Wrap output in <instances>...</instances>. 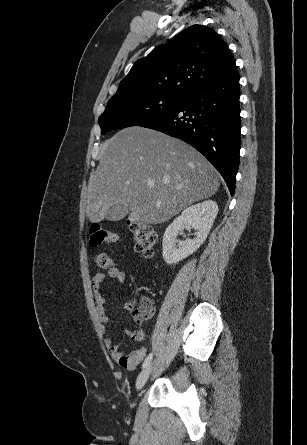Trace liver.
<instances>
[{
	"label": "liver",
	"instance_id": "liver-1",
	"mask_svg": "<svg viewBox=\"0 0 307 445\" xmlns=\"http://www.w3.org/2000/svg\"><path fill=\"white\" fill-rule=\"evenodd\" d=\"M99 150V164L88 182L91 223L128 212L134 223H165L188 204L213 196L220 186L217 170L203 154L152 128H122Z\"/></svg>",
	"mask_w": 307,
	"mask_h": 445
}]
</instances>
